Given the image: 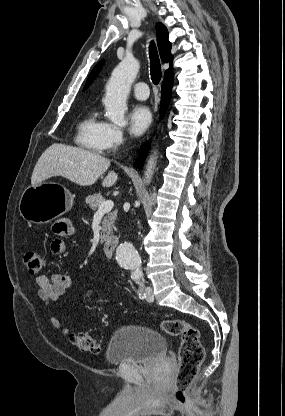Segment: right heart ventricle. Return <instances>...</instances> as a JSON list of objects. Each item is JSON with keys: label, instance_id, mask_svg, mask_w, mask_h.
<instances>
[{"label": "right heart ventricle", "instance_id": "obj_1", "mask_svg": "<svg viewBox=\"0 0 285 416\" xmlns=\"http://www.w3.org/2000/svg\"><path fill=\"white\" fill-rule=\"evenodd\" d=\"M106 126L107 122L95 109L88 111L78 125L77 144L92 152H101L102 137Z\"/></svg>", "mask_w": 285, "mask_h": 416}]
</instances>
